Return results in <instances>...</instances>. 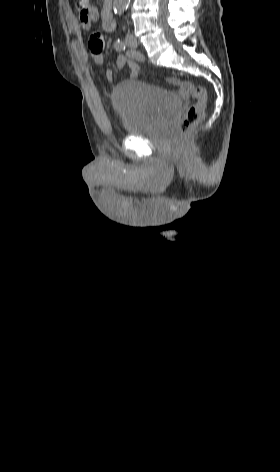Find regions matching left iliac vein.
Segmentation results:
<instances>
[{"instance_id":"4c4485c4","label":"left iliac vein","mask_w":280,"mask_h":472,"mask_svg":"<svg viewBox=\"0 0 280 472\" xmlns=\"http://www.w3.org/2000/svg\"><path fill=\"white\" fill-rule=\"evenodd\" d=\"M125 43L130 48H136L138 46L137 39L132 34H127L125 38Z\"/></svg>"}]
</instances>
